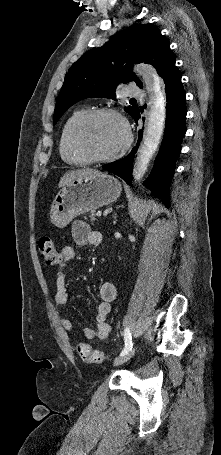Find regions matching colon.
<instances>
[{"instance_id":"obj_1","label":"colon","mask_w":221,"mask_h":455,"mask_svg":"<svg viewBox=\"0 0 221 455\" xmlns=\"http://www.w3.org/2000/svg\"><path fill=\"white\" fill-rule=\"evenodd\" d=\"M39 251L48 265H55L61 261V256L50 237L44 236L40 238ZM76 349L80 358L88 363H102L107 358L104 353L92 349L87 343H78Z\"/></svg>"}]
</instances>
